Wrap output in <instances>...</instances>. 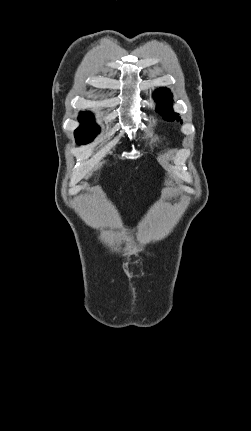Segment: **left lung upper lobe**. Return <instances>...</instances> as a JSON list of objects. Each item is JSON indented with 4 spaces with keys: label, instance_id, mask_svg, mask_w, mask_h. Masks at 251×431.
<instances>
[{
    "label": "left lung upper lobe",
    "instance_id": "left-lung-upper-lobe-1",
    "mask_svg": "<svg viewBox=\"0 0 251 431\" xmlns=\"http://www.w3.org/2000/svg\"><path fill=\"white\" fill-rule=\"evenodd\" d=\"M154 99L157 102V112L167 121L180 120L178 114L172 110V94L169 89H158L154 92Z\"/></svg>",
    "mask_w": 251,
    "mask_h": 431
}]
</instances>
